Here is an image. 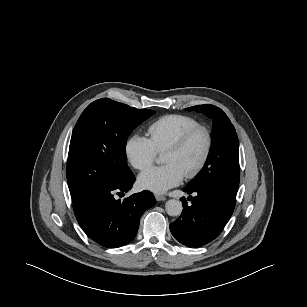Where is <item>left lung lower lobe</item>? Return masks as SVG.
Wrapping results in <instances>:
<instances>
[{"label": "left lung lower lobe", "instance_id": "obj_1", "mask_svg": "<svg viewBox=\"0 0 307 307\" xmlns=\"http://www.w3.org/2000/svg\"><path fill=\"white\" fill-rule=\"evenodd\" d=\"M188 194L195 193L191 205L184 198L181 216L170 224L172 235L188 247H200L214 240L230 219L235 203L211 187H188ZM192 197H190L191 199Z\"/></svg>", "mask_w": 307, "mask_h": 307}]
</instances>
